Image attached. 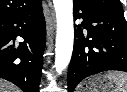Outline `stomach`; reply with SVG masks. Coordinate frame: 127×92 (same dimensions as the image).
<instances>
[{
    "label": "stomach",
    "mask_w": 127,
    "mask_h": 92,
    "mask_svg": "<svg viewBox=\"0 0 127 92\" xmlns=\"http://www.w3.org/2000/svg\"><path fill=\"white\" fill-rule=\"evenodd\" d=\"M111 88H113V83L104 78V76H100L88 80L83 92H108Z\"/></svg>",
    "instance_id": "0dacf381"
}]
</instances>
